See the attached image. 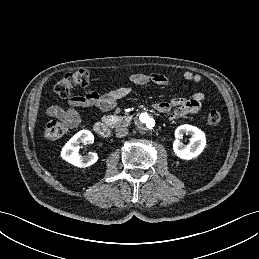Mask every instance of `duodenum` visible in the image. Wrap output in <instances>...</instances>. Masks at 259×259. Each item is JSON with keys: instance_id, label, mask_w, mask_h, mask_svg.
<instances>
[{"instance_id": "410a0bca", "label": "duodenum", "mask_w": 259, "mask_h": 259, "mask_svg": "<svg viewBox=\"0 0 259 259\" xmlns=\"http://www.w3.org/2000/svg\"><path fill=\"white\" fill-rule=\"evenodd\" d=\"M120 121L121 123H124V124H130L132 121V118L124 117ZM93 128L96 134L99 135L100 137L107 138L110 135V129L108 125L102 121L96 122Z\"/></svg>"}]
</instances>
